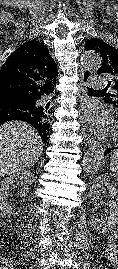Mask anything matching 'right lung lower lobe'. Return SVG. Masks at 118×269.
<instances>
[{
  "mask_svg": "<svg viewBox=\"0 0 118 269\" xmlns=\"http://www.w3.org/2000/svg\"><path fill=\"white\" fill-rule=\"evenodd\" d=\"M37 107L36 103L25 99L14 96L2 97L0 98V125L10 120L30 123L37 112Z\"/></svg>",
  "mask_w": 118,
  "mask_h": 269,
  "instance_id": "right-lung-lower-lobe-1",
  "label": "right lung lower lobe"
}]
</instances>
